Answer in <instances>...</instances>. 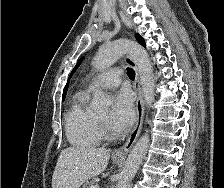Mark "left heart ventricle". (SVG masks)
Listing matches in <instances>:
<instances>
[{
    "label": "left heart ventricle",
    "instance_id": "1",
    "mask_svg": "<svg viewBox=\"0 0 224 188\" xmlns=\"http://www.w3.org/2000/svg\"><path fill=\"white\" fill-rule=\"evenodd\" d=\"M98 118L104 122H107L108 120V114L107 113H104V114H101V115H98Z\"/></svg>",
    "mask_w": 224,
    "mask_h": 188
}]
</instances>
